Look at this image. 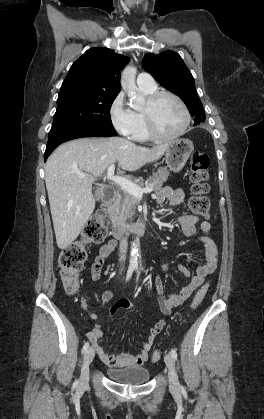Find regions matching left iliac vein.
I'll return each instance as SVG.
<instances>
[{"label":"left iliac vein","mask_w":264,"mask_h":419,"mask_svg":"<svg viewBox=\"0 0 264 419\" xmlns=\"http://www.w3.org/2000/svg\"><path fill=\"white\" fill-rule=\"evenodd\" d=\"M164 361L168 368L170 388L176 389L178 387V377L175 370L174 358L170 353H167L164 357Z\"/></svg>","instance_id":"1"}]
</instances>
